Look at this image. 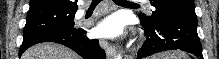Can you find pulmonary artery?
I'll list each match as a JSON object with an SVG mask.
<instances>
[{
  "label": "pulmonary artery",
  "mask_w": 219,
  "mask_h": 59,
  "mask_svg": "<svg viewBox=\"0 0 219 59\" xmlns=\"http://www.w3.org/2000/svg\"><path fill=\"white\" fill-rule=\"evenodd\" d=\"M83 13H84V10L81 11V14H83Z\"/></svg>",
  "instance_id": "pulmonary-artery-1"
}]
</instances>
